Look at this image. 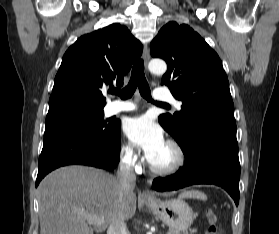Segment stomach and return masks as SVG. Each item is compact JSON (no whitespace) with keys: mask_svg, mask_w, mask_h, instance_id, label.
<instances>
[{"mask_svg":"<svg viewBox=\"0 0 279 234\" xmlns=\"http://www.w3.org/2000/svg\"><path fill=\"white\" fill-rule=\"evenodd\" d=\"M146 206L165 224L170 230L180 233L187 230L194 220L191 207L181 198L161 201L158 199L145 200Z\"/></svg>","mask_w":279,"mask_h":234,"instance_id":"0dacf381","label":"stomach"}]
</instances>
